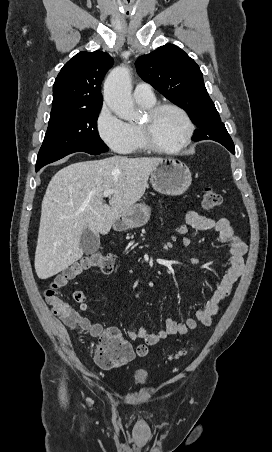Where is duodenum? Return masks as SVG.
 Returning a JSON list of instances; mask_svg holds the SVG:
<instances>
[{"mask_svg": "<svg viewBox=\"0 0 272 452\" xmlns=\"http://www.w3.org/2000/svg\"><path fill=\"white\" fill-rule=\"evenodd\" d=\"M116 229H121V226H117Z\"/></svg>", "mask_w": 272, "mask_h": 452, "instance_id": "1", "label": "duodenum"}]
</instances>
